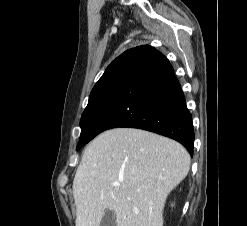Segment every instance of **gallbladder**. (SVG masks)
Returning a JSON list of instances; mask_svg holds the SVG:
<instances>
[{
  "instance_id": "bac80fb5",
  "label": "gallbladder",
  "mask_w": 247,
  "mask_h": 226,
  "mask_svg": "<svg viewBox=\"0 0 247 226\" xmlns=\"http://www.w3.org/2000/svg\"><path fill=\"white\" fill-rule=\"evenodd\" d=\"M100 226H117L115 213L111 210H106Z\"/></svg>"
}]
</instances>
